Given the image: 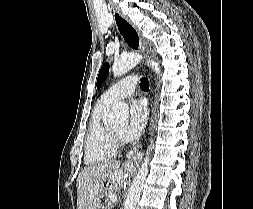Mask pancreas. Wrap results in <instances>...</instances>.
<instances>
[{
	"instance_id": "pancreas-1",
	"label": "pancreas",
	"mask_w": 253,
	"mask_h": 209,
	"mask_svg": "<svg viewBox=\"0 0 253 209\" xmlns=\"http://www.w3.org/2000/svg\"><path fill=\"white\" fill-rule=\"evenodd\" d=\"M105 204H106V209H110V204L108 202V199H106Z\"/></svg>"
}]
</instances>
